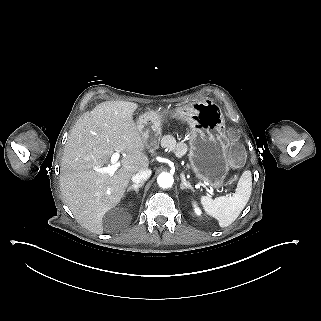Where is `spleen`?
<instances>
[{
    "mask_svg": "<svg viewBox=\"0 0 321 321\" xmlns=\"http://www.w3.org/2000/svg\"><path fill=\"white\" fill-rule=\"evenodd\" d=\"M251 172L244 171L237 183L232 197L201 196L200 204L203 212L218 221L221 228L231 225L245 208L251 195Z\"/></svg>",
    "mask_w": 321,
    "mask_h": 321,
    "instance_id": "3e777b00",
    "label": "spleen"
}]
</instances>
